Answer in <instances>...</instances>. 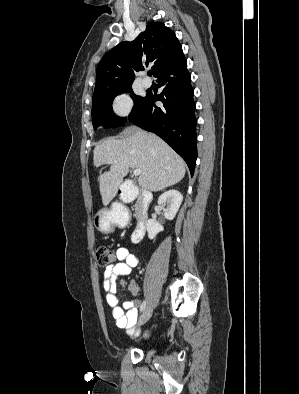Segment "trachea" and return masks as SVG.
I'll use <instances>...</instances> for the list:
<instances>
[{
	"mask_svg": "<svg viewBox=\"0 0 299 394\" xmlns=\"http://www.w3.org/2000/svg\"><path fill=\"white\" fill-rule=\"evenodd\" d=\"M152 74H153L152 71H149V72H148V75H149V76H152Z\"/></svg>",
	"mask_w": 299,
	"mask_h": 394,
	"instance_id": "1",
	"label": "trachea"
}]
</instances>
